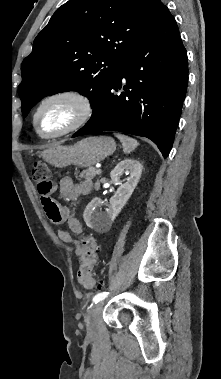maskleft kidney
Instances as JSON below:
<instances>
[{"label": "left kidney", "instance_id": "5707ae66", "mask_svg": "<svg viewBox=\"0 0 221 379\" xmlns=\"http://www.w3.org/2000/svg\"><path fill=\"white\" fill-rule=\"evenodd\" d=\"M142 168L140 162L132 159H125L115 166L110 177L119 188L106 205L105 211L98 210L104 204L100 199L95 198L87 205L83 217L89 227L103 229L113 223L137 186ZM123 173L129 174L125 183L120 182V175Z\"/></svg>", "mask_w": 221, "mask_h": 379}]
</instances>
